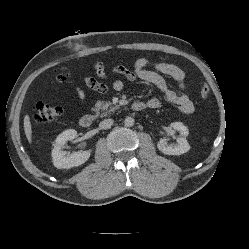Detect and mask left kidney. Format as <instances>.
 <instances>
[{
	"instance_id": "5707ae66",
	"label": "left kidney",
	"mask_w": 249,
	"mask_h": 249,
	"mask_svg": "<svg viewBox=\"0 0 249 249\" xmlns=\"http://www.w3.org/2000/svg\"><path fill=\"white\" fill-rule=\"evenodd\" d=\"M171 127L177 130L181 137L177 138V144L174 146L168 145L165 139H160L157 143V148L166 155H181L190 150V145L186 140L189 134L188 128L181 122L171 123Z\"/></svg>"
}]
</instances>
